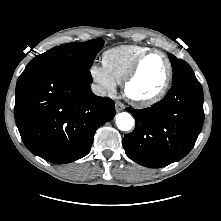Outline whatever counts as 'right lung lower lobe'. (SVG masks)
Segmentation results:
<instances>
[{
    "instance_id": "obj_1",
    "label": "right lung lower lobe",
    "mask_w": 221,
    "mask_h": 221,
    "mask_svg": "<svg viewBox=\"0 0 221 221\" xmlns=\"http://www.w3.org/2000/svg\"><path fill=\"white\" fill-rule=\"evenodd\" d=\"M89 69L28 64L16 85L15 120L35 155L65 164L87 155L95 131L115 116V104L91 91Z\"/></svg>"
}]
</instances>
